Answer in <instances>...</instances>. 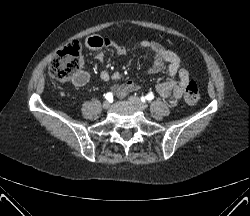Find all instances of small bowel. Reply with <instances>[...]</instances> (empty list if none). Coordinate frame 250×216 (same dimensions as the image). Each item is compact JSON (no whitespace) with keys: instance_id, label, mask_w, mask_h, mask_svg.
I'll list each match as a JSON object with an SVG mask.
<instances>
[{"instance_id":"small-bowel-1","label":"small bowel","mask_w":250,"mask_h":216,"mask_svg":"<svg viewBox=\"0 0 250 216\" xmlns=\"http://www.w3.org/2000/svg\"><path fill=\"white\" fill-rule=\"evenodd\" d=\"M86 45L92 50H99L102 48H112L118 55H125L127 50L124 46L117 45L112 41L101 36H91L87 39ZM140 47L149 50L154 55V61L149 68L150 73H158L162 71L167 64V71L169 79L163 81L156 86L157 93L163 97L171 100L175 105L185 92V89L190 82L189 74L183 67L181 58L173 51L166 50L162 45L156 42L142 41ZM100 62L104 61L105 55L99 52L96 56ZM89 73L86 71L77 72L73 78L72 83L75 86L81 87L88 83ZM109 78L107 73L101 74L102 80ZM138 89V85L133 81H127L120 85H114L112 90L119 97H124L127 94Z\"/></svg>"}]
</instances>
